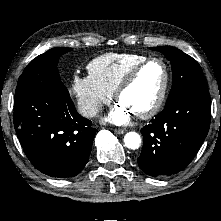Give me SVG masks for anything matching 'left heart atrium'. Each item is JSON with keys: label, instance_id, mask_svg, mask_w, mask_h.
Segmentation results:
<instances>
[{"label": "left heart atrium", "instance_id": "39dd6f15", "mask_svg": "<svg viewBox=\"0 0 221 221\" xmlns=\"http://www.w3.org/2000/svg\"><path fill=\"white\" fill-rule=\"evenodd\" d=\"M132 115L133 113L129 109H127L123 104L118 103L108 114L106 121L122 125L128 123Z\"/></svg>", "mask_w": 221, "mask_h": 221}]
</instances>
